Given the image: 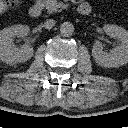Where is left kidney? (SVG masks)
<instances>
[{"label":"left kidney","instance_id":"left-kidney-1","mask_svg":"<svg viewBox=\"0 0 128 128\" xmlns=\"http://www.w3.org/2000/svg\"><path fill=\"white\" fill-rule=\"evenodd\" d=\"M103 30L108 36L119 39L122 44L107 53L103 51L101 43L96 41L92 49L94 60L100 66L108 68L119 67L128 63V31L113 24L104 25Z\"/></svg>","mask_w":128,"mask_h":128}]
</instances>
